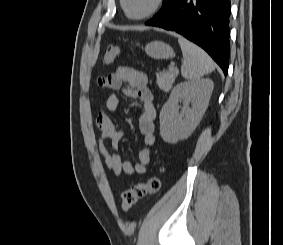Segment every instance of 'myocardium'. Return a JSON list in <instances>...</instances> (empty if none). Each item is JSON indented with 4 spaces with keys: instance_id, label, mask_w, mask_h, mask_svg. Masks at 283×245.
Listing matches in <instances>:
<instances>
[{
    "instance_id": "1",
    "label": "myocardium",
    "mask_w": 283,
    "mask_h": 245,
    "mask_svg": "<svg viewBox=\"0 0 283 245\" xmlns=\"http://www.w3.org/2000/svg\"><path fill=\"white\" fill-rule=\"evenodd\" d=\"M164 2H165V0H155L152 8L150 10H148L146 13H144L142 15L133 16V15H130L128 13L126 6H125V0H120L121 8L124 12V15L128 19L133 20V21L145 20V19L150 18L151 16L155 15L163 7Z\"/></svg>"
}]
</instances>
